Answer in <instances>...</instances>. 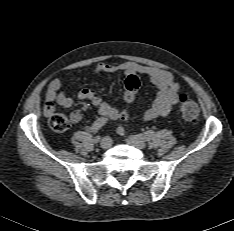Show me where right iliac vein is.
Listing matches in <instances>:
<instances>
[{
    "mask_svg": "<svg viewBox=\"0 0 234 231\" xmlns=\"http://www.w3.org/2000/svg\"><path fill=\"white\" fill-rule=\"evenodd\" d=\"M112 146V139L109 136L104 137L101 140L100 147L104 150L109 149Z\"/></svg>",
    "mask_w": 234,
    "mask_h": 231,
    "instance_id": "63e3f726",
    "label": "right iliac vein"
}]
</instances>
